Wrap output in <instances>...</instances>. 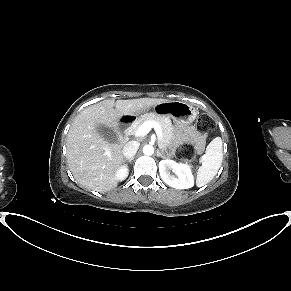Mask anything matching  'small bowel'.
<instances>
[{"instance_id": "small-bowel-1", "label": "small bowel", "mask_w": 291, "mask_h": 291, "mask_svg": "<svg viewBox=\"0 0 291 291\" xmlns=\"http://www.w3.org/2000/svg\"><path fill=\"white\" fill-rule=\"evenodd\" d=\"M188 137H189L190 139H194V140H196V141H198V142H201V139H200L199 135H198L197 132L194 131V130H190V131L188 132Z\"/></svg>"}]
</instances>
